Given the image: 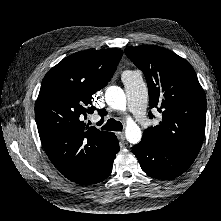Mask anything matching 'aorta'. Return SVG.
Instances as JSON below:
<instances>
[{
  "instance_id": "762f6f07",
  "label": "aorta",
  "mask_w": 221,
  "mask_h": 221,
  "mask_svg": "<svg viewBox=\"0 0 221 221\" xmlns=\"http://www.w3.org/2000/svg\"><path fill=\"white\" fill-rule=\"evenodd\" d=\"M105 101L112 109L120 111L126 110V95L122 88L118 86H109L106 89ZM125 135L128 142L132 144H137L141 140V129L131 118H127Z\"/></svg>"
}]
</instances>
